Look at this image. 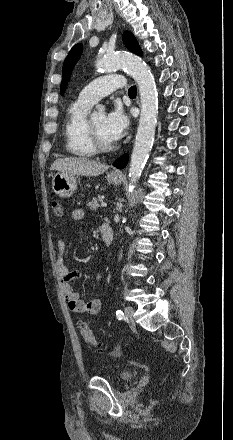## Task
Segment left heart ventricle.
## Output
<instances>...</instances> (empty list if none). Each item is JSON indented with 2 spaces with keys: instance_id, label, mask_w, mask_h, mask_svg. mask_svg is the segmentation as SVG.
I'll return each instance as SVG.
<instances>
[{
  "instance_id": "b2bd125f",
  "label": "left heart ventricle",
  "mask_w": 233,
  "mask_h": 440,
  "mask_svg": "<svg viewBox=\"0 0 233 440\" xmlns=\"http://www.w3.org/2000/svg\"><path fill=\"white\" fill-rule=\"evenodd\" d=\"M91 119L100 137L107 142H113L114 140L110 137L106 129V116L100 113L92 116Z\"/></svg>"
}]
</instances>
